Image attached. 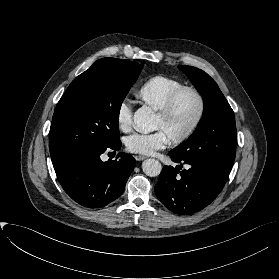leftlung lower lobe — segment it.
<instances>
[{
  "label": "left lung lower lobe",
  "instance_id": "0a47b994",
  "mask_svg": "<svg viewBox=\"0 0 279 279\" xmlns=\"http://www.w3.org/2000/svg\"><path fill=\"white\" fill-rule=\"evenodd\" d=\"M176 163L188 164V170L165 166L155 186L158 199L170 211L188 215L209 205L221 192L230 172L208 162L181 160L169 152ZM182 167V165H180Z\"/></svg>",
  "mask_w": 279,
  "mask_h": 279
}]
</instances>
